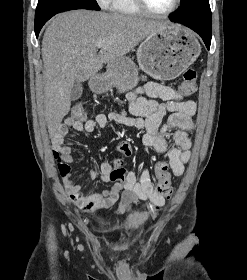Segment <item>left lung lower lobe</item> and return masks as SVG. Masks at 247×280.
<instances>
[{
    "mask_svg": "<svg viewBox=\"0 0 247 280\" xmlns=\"http://www.w3.org/2000/svg\"><path fill=\"white\" fill-rule=\"evenodd\" d=\"M170 21L183 24L191 28L192 30H194L202 37L204 43L206 44V47L208 49L210 48L211 37H212V25H205V24L194 23V22H184L175 18L174 16L170 18Z\"/></svg>",
    "mask_w": 247,
    "mask_h": 280,
    "instance_id": "0a47b994",
    "label": "left lung lower lobe"
}]
</instances>
